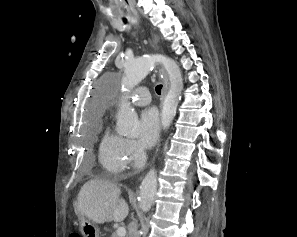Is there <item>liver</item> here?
<instances>
[{
  "label": "liver",
  "instance_id": "1",
  "mask_svg": "<svg viewBox=\"0 0 297 237\" xmlns=\"http://www.w3.org/2000/svg\"><path fill=\"white\" fill-rule=\"evenodd\" d=\"M120 193V188L113 183L90 180L78 194L75 212L98 224L122 222L129 213V206L120 198Z\"/></svg>",
  "mask_w": 297,
  "mask_h": 237
}]
</instances>
